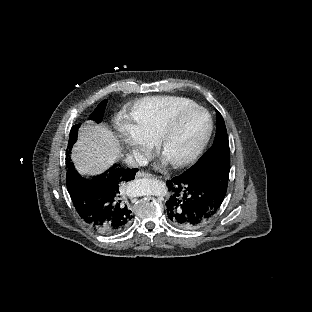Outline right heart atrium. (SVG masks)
<instances>
[{"label": "right heart atrium", "mask_w": 312, "mask_h": 312, "mask_svg": "<svg viewBox=\"0 0 312 312\" xmlns=\"http://www.w3.org/2000/svg\"><path fill=\"white\" fill-rule=\"evenodd\" d=\"M122 140L125 143L126 149L130 152H138L143 147V140L134 128L125 129L122 133Z\"/></svg>", "instance_id": "obj_1"}]
</instances>
